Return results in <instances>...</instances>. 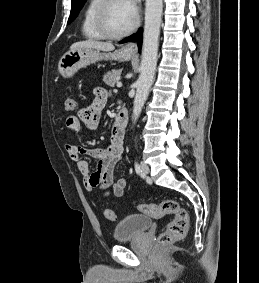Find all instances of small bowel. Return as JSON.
Segmentation results:
<instances>
[{
    "instance_id": "1",
    "label": "small bowel",
    "mask_w": 259,
    "mask_h": 283,
    "mask_svg": "<svg viewBox=\"0 0 259 283\" xmlns=\"http://www.w3.org/2000/svg\"><path fill=\"white\" fill-rule=\"evenodd\" d=\"M108 98L103 88L94 89L92 103L81 108L76 115L66 119L68 129L74 133H82L85 129L95 130L98 127L102 111ZM124 131H116L113 126L111 143L106 148H87L73 143H67L65 150L69 157L74 160L84 178V186L87 190H107L115 197H121L126 187L124 178L115 179L114 171L116 164L122 159L124 147ZM82 156H90L96 159V168L90 171L89 163Z\"/></svg>"
}]
</instances>
